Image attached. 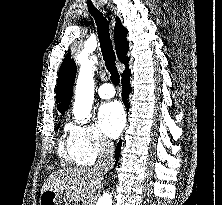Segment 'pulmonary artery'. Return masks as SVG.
Listing matches in <instances>:
<instances>
[{
    "label": "pulmonary artery",
    "mask_w": 222,
    "mask_h": 205,
    "mask_svg": "<svg viewBox=\"0 0 222 205\" xmlns=\"http://www.w3.org/2000/svg\"><path fill=\"white\" fill-rule=\"evenodd\" d=\"M98 95L102 99H110L115 95V89L111 83H103L98 89Z\"/></svg>",
    "instance_id": "1"
}]
</instances>
